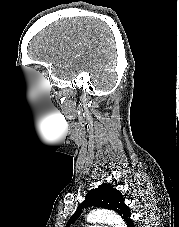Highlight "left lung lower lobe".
I'll use <instances>...</instances> for the list:
<instances>
[{
    "label": "left lung lower lobe",
    "mask_w": 179,
    "mask_h": 227,
    "mask_svg": "<svg viewBox=\"0 0 179 227\" xmlns=\"http://www.w3.org/2000/svg\"><path fill=\"white\" fill-rule=\"evenodd\" d=\"M127 227H134V224H133V223H129V224L127 225Z\"/></svg>",
    "instance_id": "obj_1"
}]
</instances>
